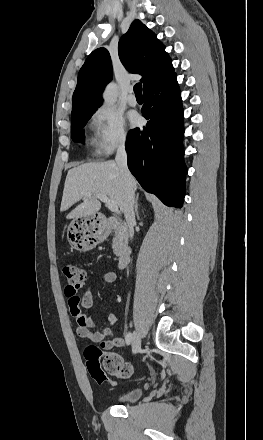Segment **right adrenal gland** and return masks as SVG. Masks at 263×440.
Listing matches in <instances>:
<instances>
[{"mask_svg": "<svg viewBox=\"0 0 263 440\" xmlns=\"http://www.w3.org/2000/svg\"><path fill=\"white\" fill-rule=\"evenodd\" d=\"M138 200H139V194L136 195L135 206H134L135 214L139 218V216H138V206H139Z\"/></svg>", "mask_w": 263, "mask_h": 440, "instance_id": "obj_1", "label": "right adrenal gland"}]
</instances>
